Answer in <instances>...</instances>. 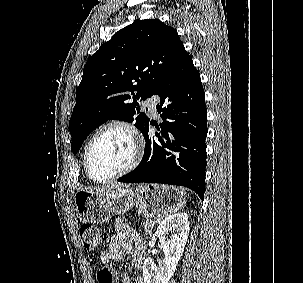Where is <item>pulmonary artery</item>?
Returning a JSON list of instances; mask_svg holds the SVG:
<instances>
[{
    "instance_id": "e3ab8cb5",
    "label": "pulmonary artery",
    "mask_w": 303,
    "mask_h": 283,
    "mask_svg": "<svg viewBox=\"0 0 303 283\" xmlns=\"http://www.w3.org/2000/svg\"><path fill=\"white\" fill-rule=\"evenodd\" d=\"M143 106L145 108H148V110L153 114L156 115L157 114V108H156V101L155 98L150 96L147 97L144 102H143Z\"/></svg>"
}]
</instances>
